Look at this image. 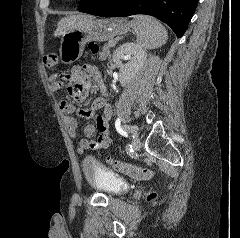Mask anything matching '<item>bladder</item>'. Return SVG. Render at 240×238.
I'll return each instance as SVG.
<instances>
[{
	"label": "bladder",
	"instance_id": "obj_1",
	"mask_svg": "<svg viewBox=\"0 0 240 238\" xmlns=\"http://www.w3.org/2000/svg\"><path fill=\"white\" fill-rule=\"evenodd\" d=\"M81 167L86 182L100 192L117 196L128 189L121 176L101 165L90 155L84 157Z\"/></svg>",
	"mask_w": 240,
	"mask_h": 238
}]
</instances>
